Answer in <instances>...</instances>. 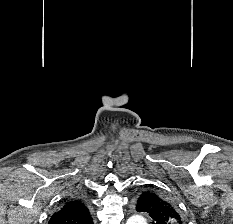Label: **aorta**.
I'll return each instance as SVG.
<instances>
[{
	"label": "aorta",
	"instance_id": "1",
	"mask_svg": "<svg viewBox=\"0 0 233 224\" xmlns=\"http://www.w3.org/2000/svg\"><path fill=\"white\" fill-rule=\"evenodd\" d=\"M126 224H147V222L144 217L133 215L127 220Z\"/></svg>",
	"mask_w": 233,
	"mask_h": 224
}]
</instances>
